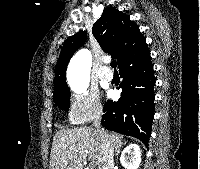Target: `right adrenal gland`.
I'll return each instance as SVG.
<instances>
[{"instance_id": "2a0ac1e0", "label": "right adrenal gland", "mask_w": 200, "mask_h": 169, "mask_svg": "<svg viewBox=\"0 0 200 169\" xmlns=\"http://www.w3.org/2000/svg\"><path fill=\"white\" fill-rule=\"evenodd\" d=\"M125 144H126V142L122 143V145H125ZM122 145H120V146L116 149V151H115V156H118V155H119V153H120V147H121Z\"/></svg>"}]
</instances>
